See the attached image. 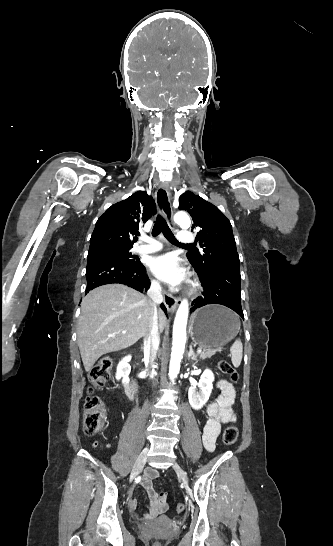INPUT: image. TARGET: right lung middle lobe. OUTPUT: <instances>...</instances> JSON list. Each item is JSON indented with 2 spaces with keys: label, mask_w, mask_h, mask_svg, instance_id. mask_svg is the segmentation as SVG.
Wrapping results in <instances>:
<instances>
[{
  "label": "right lung middle lobe",
  "mask_w": 333,
  "mask_h": 546,
  "mask_svg": "<svg viewBox=\"0 0 333 546\" xmlns=\"http://www.w3.org/2000/svg\"><path fill=\"white\" fill-rule=\"evenodd\" d=\"M131 248L132 247H105V248H101V249H98V250L93 251V252H89L88 255H90L92 253H102V254H107V255L114 256V257L122 259V260H124L126 262L138 263L139 259H138L137 256L133 255L130 252Z\"/></svg>",
  "instance_id": "right-lung-middle-lobe-1"
}]
</instances>
